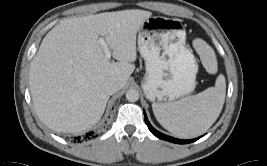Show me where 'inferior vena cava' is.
Returning a JSON list of instances; mask_svg holds the SVG:
<instances>
[{
	"label": "inferior vena cava",
	"mask_w": 267,
	"mask_h": 166,
	"mask_svg": "<svg viewBox=\"0 0 267 166\" xmlns=\"http://www.w3.org/2000/svg\"><path fill=\"white\" fill-rule=\"evenodd\" d=\"M105 89L109 95H112L119 91V85L116 82L110 81L106 83Z\"/></svg>",
	"instance_id": "obj_1"
}]
</instances>
